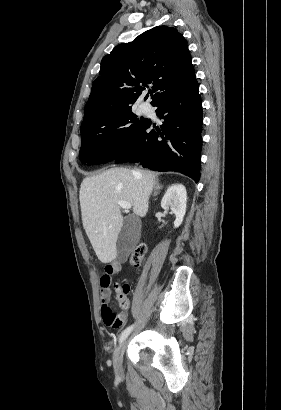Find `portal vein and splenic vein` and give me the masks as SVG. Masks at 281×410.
<instances>
[{
	"label": "portal vein and splenic vein",
	"mask_w": 281,
	"mask_h": 410,
	"mask_svg": "<svg viewBox=\"0 0 281 410\" xmlns=\"http://www.w3.org/2000/svg\"><path fill=\"white\" fill-rule=\"evenodd\" d=\"M118 204L121 208L123 209H130L132 207V205L128 202H124V201H118Z\"/></svg>",
	"instance_id": "1"
}]
</instances>
